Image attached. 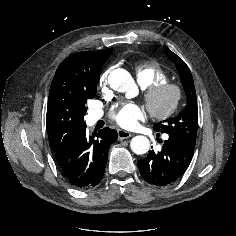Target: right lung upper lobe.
<instances>
[{"mask_svg": "<svg viewBox=\"0 0 236 236\" xmlns=\"http://www.w3.org/2000/svg\"><path fill=\"white\" fill-rule=\"evenodd\" d=\"M110 50L72 54L56 70L46 115L49 144L56 158L64 154L77 131L85 125L79 89L100 76V57Z\"/></svg>", "mask_w": 236, "mask_h": 236, "instance_id": "right-lung-upper-lobe-1", "label": "right lung upper lobe"}]
</instances>
